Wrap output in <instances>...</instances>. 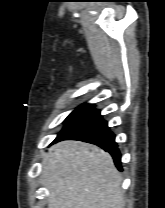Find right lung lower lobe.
Here are the masks:
<instances>
[{
    "label": "right lung lower lobe",
    "instance_id": "1",
    "mask_svg": "<svg viewBox=\"0 0 165 208\" xmlns=\"http://www.w3.org/2000/svg\"><path fill=\"white\" fill-rule=\"evenodd\" d=\"M62 140H79L101 147L112 155L116 167L122 171L121 154L115 142V136L110 131L107 122L102 119L100 111L92 110L83 116L58 136L53 143Z\"/></svg>",
    "mask_w": 165,
    "mask_h": 208
}]
</instances>
